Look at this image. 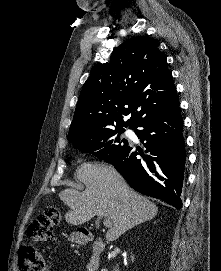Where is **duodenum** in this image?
<instances>
[{
	"instance_id": "410a0bca",
	"label": "duodenum",
	"mask_w": 221,
	"mask_h": 271,
	"mask_svg": "<svg viewBox=\"0 0 221 271\" xmlns=\"http://www.w3.org/2000/svg\"><path fill=\"white\" fill-rule=\"evenodd\" d=\"M73 241L78 245H84L92 241L87 271H98L101 264V255L105 248L104 242L100 239H93L88 231H81L73 238Z\"/></svg>"
}]
</instances>
